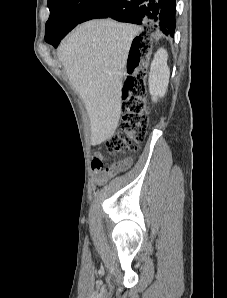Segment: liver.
<instances>
[{"instance_id":"liver-1","label":"liver","mask_w":227,"mask_h":298,"mask_svg":"<svg viewBox=\"0 0 227 298\" xmlns=\"http://www.w3.org/2000/svg\"><path fill=\"white\" fill-rule=\"evenodd\" d=\"M140 31L111 19L91 20L78 26L58 48V59L86 106L92 145L110 139L117 128L124 68Z\"/></svg>"}]
</instances>
